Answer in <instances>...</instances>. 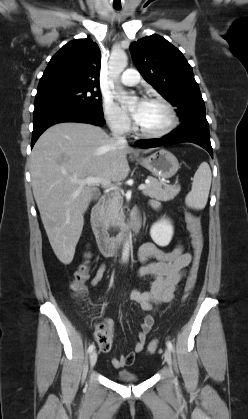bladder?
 <instances>
[{
	"label": "bladder",
	"instance_id": "obj_1",
	"mask_svg": "<svg viewBox=\"0 0 248 419\" xmlns=\"http://www.w3.org/2000/svg\"><path fill=\"white\" fill-rule=\"evenodd\" d=\"M115 379L123 383H136L140 379L138 375L130 371H118L115 373Z\"/></svg>",
	"mask_w": 248,
	"mask_h": 419
}]
</instances>
